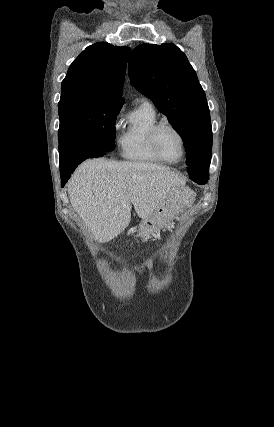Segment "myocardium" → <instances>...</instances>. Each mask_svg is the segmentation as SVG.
Returning a JSON list of instances; mask_svg holds the SVG:
<instances>
[{
  "mask_svg": "<svg viewBox=\"0 0 274 427\" xmlns=\"http://www.w3.org/2000/svg\"><path fill=\"white\" fill-rule=\"evenodd\" d=\"M163 129H170L174 131L180 138L182 143V156L178 161H170L167 159L160 150L159 147V134ZM150 145L155 154L164 162L171 165L180 164L184 161L187 155V143L183 133L173 124L171 123H157L150 134Z\"/></svg>",
  "mask_w": 274,
  "mask_h": 427,
  "instance_id": "f54148a6",
  "label": "myocardium"
}]
</instances>
